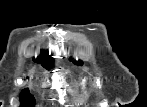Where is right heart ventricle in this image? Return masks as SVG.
Here are the masks:
<instances>
[{
	"label": "right heart ventricle",
	"mask_w": 147,
	"mask_h": 107,
	"mask_svg": "<svg viewBox=\"0 0 147 107\" xmlns=\"http://www.w3.org/2000/svg\"><path fill=\"white\" fill-rule=\"evenodd\" d=\"M90 96V88L87 80H82L78 85V97L80 100H86Z\"/></svg>",
	"instance_id": "obj_1"
}]
</instances>
